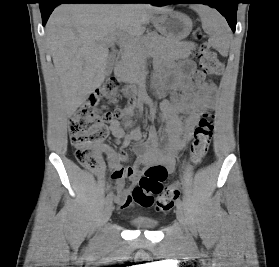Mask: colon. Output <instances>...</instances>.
Here are the masks:
<instances>
[{
  "mask_svg": "<svg viewBox=\"0 0 279 267\" xmlns=\"http://www.w3.org/2000/svg\"><path fill=\"white\" fill-rule=\"evenodd\" d=\"M194 38L202 41L203 34L194 32ZM201 71L195 75L201 82L206 75H220L223 65L217 54L206 42H201L196 53ZM121 99L119 83L115 78L105 81L88 100L70 117L69 132L77 161L89 171H97L101 166L99 146L108 134L107 123L120 119L124 110L117 106ZM213 135V114L205 112L194 130L190 144V166L199 164L206 156ZM165 171L158 166L148 167L132 193L133 200L143 207L155 204L160 211L173 208L180 196L181 181L163 186ZM154 195H157L154 200Z\"/></svg>",
  "mask_w": 279,
  "mask_h": 267,
  "instance_id": "5ec220e1",
  "label": "colon"
}]
</instances>
